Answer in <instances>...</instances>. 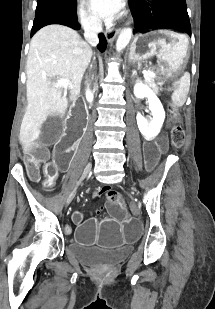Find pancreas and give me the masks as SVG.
Segmentation results:
<instances>
[{
    "label": "pancreas",
    "instance_id": "cf45deb5",
    "mask_svg": "<svg viewBox=\"0 0 215 309\" xmlns=\"http://www.w3.org/2000/svg\"><path fill=\"white\" fill-rule=\"evenodd\" d=\"M146 84H149V86H153L154 90H156V92H158L159 88H157V84H155V80L154 78H150V80H145Z\"/></svg>",
    "mask_w": 215,
    "mask_h": 309
}]
</instances>
